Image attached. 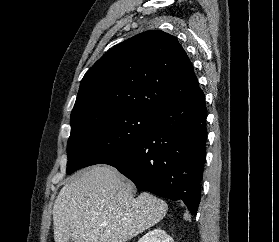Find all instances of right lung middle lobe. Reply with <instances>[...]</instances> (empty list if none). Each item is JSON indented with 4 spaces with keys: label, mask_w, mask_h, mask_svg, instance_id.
Returning <instances> with one entry per match:
<instances>
[{
    "label": "right lung middle lobe",
    "mask_w": 279,
    "mask_h": 242,
    "mask_svg": "<svg viewBox=\"0 0 279 242\" xmlns=\"http://www.w3.org/2000/svg\"><path fill=\"white\" fill-rule=\"evenodd\" d=\"M156 113L120 109L71 119L67 173L100 164L143 139L154 128Z\"/></svg>",
    "instance_id": "right-lung-middle-lobe-1"
}]
</instances>
